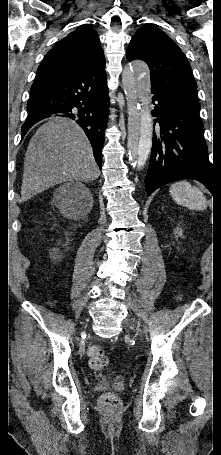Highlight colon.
I'll return each instance as SVG.
<instances>
[{"label": "colon", "mask_w": 221, "mask_h": 455, "mask_svg": "<svg viewBox=\"0 0 221 455\" xmlns=\"http://www.w3.org/2000/svg\"><path fill=\"white\" fill-rule=\"evenodd\" d=\"M89 364L93 369L101 370L108 366L109 359L104 349L100 346L94 345L88 351ZM100 404L107 410L116 411L120 407L119 398L113 393H105L102 395Z\"/></svg>", "instance_id": "colon-1"}]
</instances>
